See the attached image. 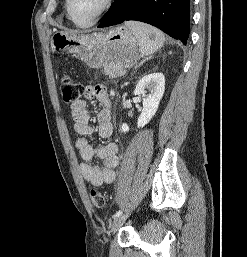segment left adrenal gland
<instances>
[{"label":"left adrenal gland","instance_id":"obj_1","mask_svg":"<svg viewBox=\"0 0 247 257\" xmlns=\"http://www.w3.org/2000/svg\"><path fill=\"white\" fill-rule=\"evenodd\" d=\"M148 59V58H147ZM147 59H144L143 61H141L140 65L143 64Z\"/></svg>","mask_w":247,"mask_h":257}]
</instances>
